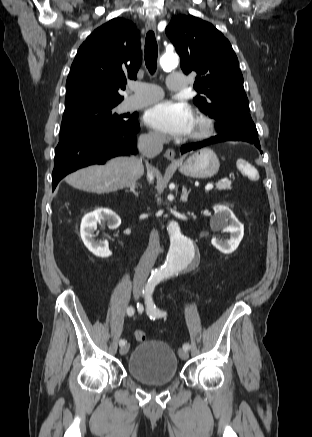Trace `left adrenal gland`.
I'll return each mask as SVG.
<instances>
[{"instance_id":"1","label":"left adrenal gland","mask_w":312,"mask_h":437,"mask_svg":"<svg viewBox=\"0 0 312 437\" xmlns=\"http://www.w3.org/2000/svg\"><path fill=\"white\" fill-rule=\"evenodd\" d=\"M190 191H191V190H188V191H187V189L183 186V188H182V195H181V200H182V202H187V200H188V195H189Z\"/></svg>"}]
</instances>
